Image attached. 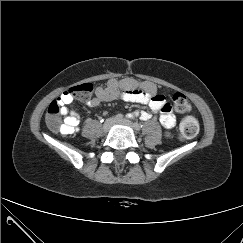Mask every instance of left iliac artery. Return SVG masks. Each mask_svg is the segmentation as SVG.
Masks as SVG:
<instances>
[{
  "label": "left iliac artery",
  "mask_w": 243,
  "mask_h": 243,
  "mask_svg": "<svg viewBox=\"0 0 243 243\" xmlns=\"http://www.w3.org/2000/svg\"><path fill=\"white\" fill-rule=\"evenodd\" d=\"M134 126L138 129V130H140V128L142 127L140 124H138L137 122L136 123H134Z\"/></svg>",
  "instance_id": "left-iliac-artery-1"
}]
</instances>
